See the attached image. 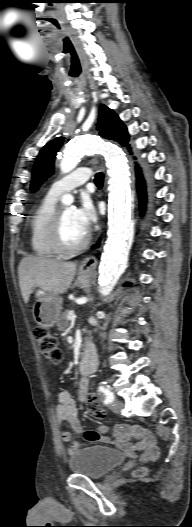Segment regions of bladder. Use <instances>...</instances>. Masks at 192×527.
Instances as JSON below:
<instances>
[{
    "mask_svg": "<svg viewBox=\"0 0 192 527\" xmlns=\"http://www.w3.org/2000/svg\"><path fill=\"white\" fill-rule=\"evenodd\" d=\"M125 455L112 447L91 445L75 452L69 459V468L73 474L100 479L119 467Z\"/></svg>",
    "mask_w": 192,
    "mask_h": 527,
    "instance_id": "1",
    "label": "bladder"
}]
</instances>
